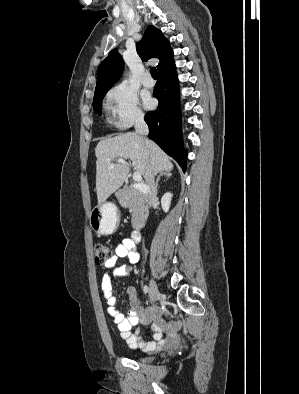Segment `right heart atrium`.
Segmentation results:
<instances>
[{
  "label": "right heart atrium",
  "mask_w": 299,
  "mask_h": 394,
  "mask_svg": "<svg viewBox=\"0 0 299 394\" xmlns=\"http://www.w3.org/2000/svg\"><path fill=\"white\" fill-rule=\"evenodd\" d=\"M107 108L113 123L119 129H127L143 121L136 93L125 84H117L107 95Z\"/></svg>",
  "instance_id": "1"
}]
</instances>
